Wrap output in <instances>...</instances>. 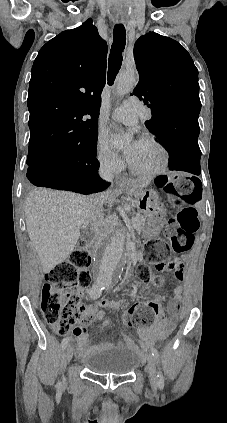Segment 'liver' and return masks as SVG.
I'll use <instances>...</instances> for the list:
<instances>
[{"mask_svg":"<svg viewBox=\"0 0 227 423\" xmlns=\"http://www.w3.org/2000/svg\"><path fill=\"white\" fill-rule=\"evenodd\" d=\"M146 188L148 182H137ZM118 190H108L94 196H80L72 192H54L46 188H35L27 194L24 213L27 233L41 261L44 273L54 269L72 253L82 229L91 223L92 211L97 213V223H103V206L112 204ZM93 200L94 208H89ZM97 202H100L97 206Z\"/></svg>","mask_w":227,"mask_h":423,"instance_id":"liver-1","label":"liver"}]
</instances>
